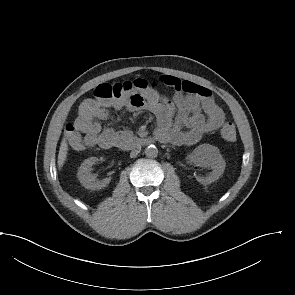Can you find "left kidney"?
<instances>
[{"instance_id":"5707ae66","label":"left kidney","mask_w":295,"mask_h":295,"mask_svg":"<svg viewBox=\"0 0 295 295\" xmlns=\"http://www.w3.org/2000/svg\"><path fill=\"white\" fill-rule=\"evenodd\" d=\"M188 162H192L197 166L210 167L212 172L206 177H198L197 180L203 185L211 184L219 179L223 174L226 163L219 149L210 144L199 145L194 151L188 155Z\"/></svg>"}]
</instances>
